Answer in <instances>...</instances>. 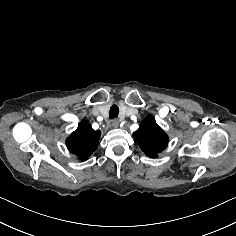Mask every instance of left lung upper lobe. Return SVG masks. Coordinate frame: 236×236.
I'll use <instances>...</instances> for the list:
<instances>
[{
	"mask_svg": "<svg viewBox=\"0 0 236 236\" xmlns=\"http://www.w3.org/2000/svg\"><path fill=\"white\" fill-rule=\"evenodd\" d=\"M134 139L140 145L142 151L149 157L155 158L162 152L168 142V136L157 125L151 115H148L139 126V129L133 133Z\"/></svg>",
	"mask_w": 236,
	"mask_h": 236,
	"instance_id": "left-lung-upper-lobe-1",
	"label": "left lung upper lobe"
}]
</instances>
